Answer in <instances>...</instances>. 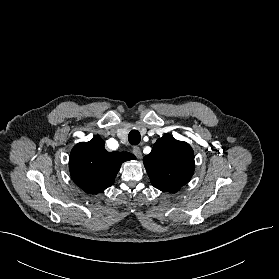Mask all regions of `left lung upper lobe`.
Here are the masks:
<instances>
[{
    "label": "left lung upper lobe",
    "instance_id": "left-lung-upper-lobe-1",
    "mask_svg": "<svg viewBox=\"0 0 279 279\" xmlns=\"http://www.w3.org/2000/svg\"><path fill=\"white\" fill-rule=\"evenodd\" d=\"M143 162L151 184L164 192H176L194 173V153L191 146L176 140L170 134L156 141Z\"/></svg>",
    "mask_w": 279,
    "mask_h": 279
}]
</instances>
